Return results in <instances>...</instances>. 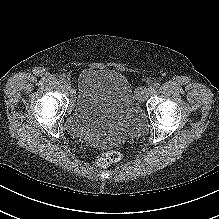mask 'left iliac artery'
Masks as SVG:
<instances>
[{"instance_id":"obj_1","label":"left iliac artery","mask_w":219,"mask_h":219,"mask_svg":"<svg viewBox=\"0 0 219 219\" xmlns=\"http://www.w3.org/2000/svg\"><path fill=\"white\" fill-rule=\"evenodd\" d=\"M160 84L158 82H155L152 86L153 90L158 89Z\"/></svg>"}]
</instances>
